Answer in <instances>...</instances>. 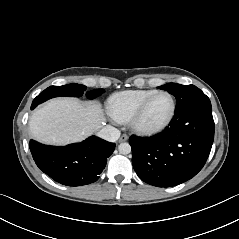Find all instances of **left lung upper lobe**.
<instances>
[{"mask_svg":"<svg viewBox=\"0 0 239 239\" xmlns=\"http://www.w3.org/2000/svg\"><path fill=\"white\" fill-rule=\"evenodd\" d=\"M158 88L166 90L176 97L175 110H179L193 102L208 99V97L194 85H180L177 83H168Z\"/></svg>","mask_w":239,"mask_h":239,"instance_id":"left-lung-upper-lobe-1","label":"left lung upper lobe"}]
</instances>
